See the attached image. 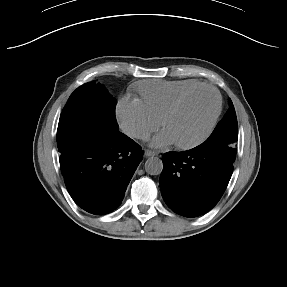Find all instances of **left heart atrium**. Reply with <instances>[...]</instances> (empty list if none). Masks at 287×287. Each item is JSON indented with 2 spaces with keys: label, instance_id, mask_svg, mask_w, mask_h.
Instances as JSON below:
<instances>
[{
  "label": "left heart atrium",
  "instance_id": "obj_1",
  "mask_svg": "<svg viewBox=\"0 0 287 287\" xmlns=\"http://www.w3.org/2000/svg\"><path fill=\"white\" fill-rule=\"evenodd\" d=\"M174 143L175 141L173 137L166 130H163L162 132H160L157 136L154 137L152 141V145L155 147H159V148L167 147Z\"/></svg>",
  "mask_w": 287,
  "mask_h": 287
}]
</instances>
